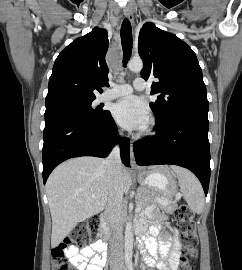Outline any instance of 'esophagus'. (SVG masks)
<instances>
[{
  "instance_id": "34e87169",
  "label": "esophagus",
  "mask_w": 242,
  "mask_h": 270,
  "mask_svg": "<svg viewBox=\"0 0 242 270\" xmlns=\"http://www.w3.org/2000/svg\"><path fill=\"white\" fill-rule=\"evenodd\" d=\"M124 15L125 17L131 22V24L134 23V16H133V13L131 12V10L129 8H125L124 9ZM131 165L134 169L137 168V164H136V161H135V158H134V155H133V152H132V142H131Z\"/></svg>"
}]
</instances>
